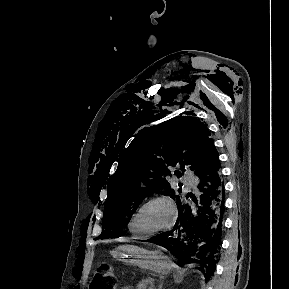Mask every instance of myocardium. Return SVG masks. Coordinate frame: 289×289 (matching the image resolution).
Returning <instances> with one entry per match:
<instances>
[{
  "instance_id": "myocardium-1",
  "label": "myocardium",
  "mask_w": 289,
  "mask_h": 289,
  "mask_svg": "<svg viewBox=\"0 0 289 289\" xmlns=\"http://www.w3.org/2000/svg\"><path fill=\"white\" fill-rule=\"evenodd\" d=\"M154 202L164 203L169 208L170 219H169L168 223L160 229H157L155 231L148 232V233L142 232L136 228L137 218L146 206H148L149 204L154 203ZM176 218H177V208H176V205L173 202V200L167 196H164V195H155V196H152V197L148 198L147 200H145L137 208V210L134 212V214L131 218L130 225H131V229L139 236L151 237V236H155V235H158V234H161V233H164V232L170 230L172 228V226L174 225Z\"/></svg>"
}]
</instances>
